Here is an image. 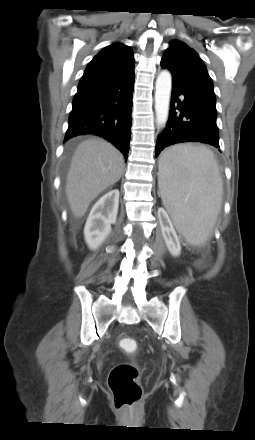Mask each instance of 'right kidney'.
Listing matches in <instances>:
<instances>
[{
  "instance_id": "obj_1",
  "label": "right kidney",
  "mask_w": 255,
  "mask_h": 440,
  "mask_svg": "<svg viewBox=\"0 0 255 440\" xmlns=\"http://www.w3.org/2000/svg\"><path fill=\"white\" fill-rule=\"evenodd\" d=\"M118 206L119 190L114 189L92 207L84 227L85 241L90 249H97L110 234L111 224L116 223Z\"/></svg>"
}]
</instances>
